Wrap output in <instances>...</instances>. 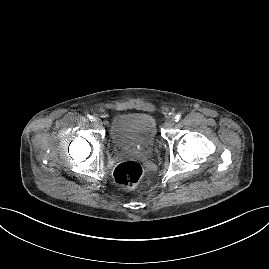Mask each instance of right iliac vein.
Listing matches in <instances>:
<instances>
[{"label":"right iliac vein","instance_id":"right-iliac-vein-1","mask_svg":"<svg viewBox=\"0 0 269 269\" xmlns=\"http://www.w3.org/2000/svg\"><path fill=\"white\" fill-rule=\"evenodd\" d=\"M93 124L96 126V127H99V126H101V121H100V119H98V118H95L94 120H93Z\"/></svg>","mask_w":269,"mask_h":269}]
</instances>
